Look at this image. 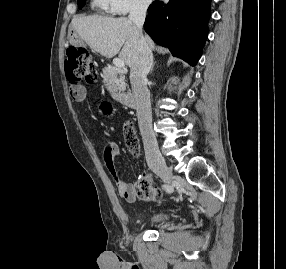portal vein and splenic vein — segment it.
<instances>
[{"instance_id": "portal-vein-and-splenic-vein-1", "label": "portal vein and splenic vein", "mask_w": 286, "mask_h": 269, "mask_svg": "<svg viewBox=\"0 0 286 269\" xmlns=\"http://www.w3.org/2000/svg\"><path fill=\"white\" fill-rule=\"evenodd\" d=\"M113 64L116 68H119V69H122L125 67L124 61L120 58L114 59Z\"/></svg>"}]
</instances>
